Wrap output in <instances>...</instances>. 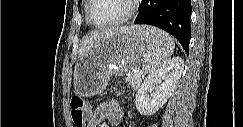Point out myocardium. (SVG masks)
<instances>
[{
	"mask_svg": "<svg viewBox=\"0 0 243 127\" xmlns=\"http://www.w3.org/2000/svg\"><path fill=\"white\" fill-rule=\"evenodd\" d=\"M126 1L128 2L129 9H128V12L124 16H122L119 19H116L114 21H111V22L97 23L93 20L92 15H91V8H92L94 0H88L87 7H86L87 21L89 22L90 25L97 27V28L114 27V26H118V25H121V24L127 22L137 12L139 0H126Z\"/></svg>",
	"mask_w": 243,
	"mask_h": 127,
	"instance_id": "obj_1",
	"label": "myocardium"
}]
</instances>
